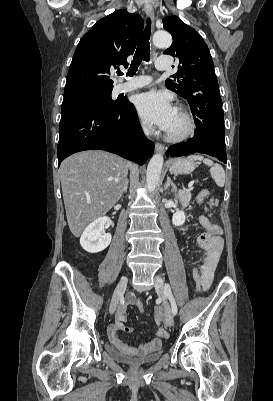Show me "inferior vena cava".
Returning <instances> with one entry per match:
<instances>
[{
    "mask_svg": "<svg viewBox=\"0 0 273 401\" xmlns=\"http://www.w3.org/2000/svg\"><path fill=\"white\" fill-rule=\"evenodd\" d=\"M143 130L145 132V134H150L151 130H149V128H146V126H143Z\"/></svg>",
    "mask_w": 273,
    "mask_h": 401,
    "instance_id": "inferior-vena-cava-1",
    "label": "inferior vena cava"
}]
</instances>
